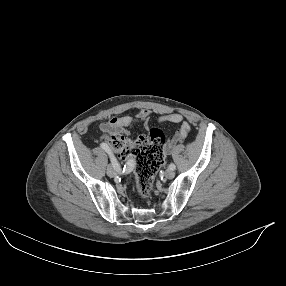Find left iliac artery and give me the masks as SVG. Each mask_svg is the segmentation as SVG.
<instances>
[{
    "label": "left iliac artery",
    "instance_id": "1",
    "mask_svg": "<svg viewBox=\"0 0 286 286\" xmlns=\"http://www.w3.org/2000/svg\"><path fill=\"white\" fill-rule=\"evenodd\" d=\"M169 168H170L171 170H175V169H176V166H175L174 164H170V165H169Z\"/></svg>",
    "mask_w": 286,
    "mask_h": 286
}]
</instances>
